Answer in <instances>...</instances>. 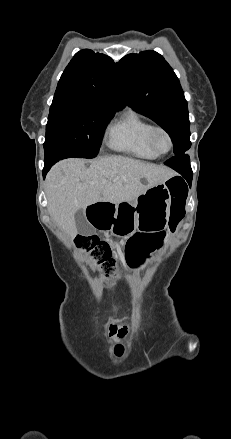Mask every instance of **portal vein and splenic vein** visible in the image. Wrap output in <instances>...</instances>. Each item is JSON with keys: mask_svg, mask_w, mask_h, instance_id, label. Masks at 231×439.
I'll list each match as a JSON object with an SVG mask.
<instances>
[{"mask_svg": "<svg viewBox=\"0 0 231 439\" xmlns=\"http://www.w3.org/2000/svg\"><path fill=\"white\" fill-rule=\"evenodd\" d=\"M107 181L106 180H102V183L105 184Z\"/></svg>", "mask_w": 231, "mask_h": 439, "instance_id": "1", "label": "portal vein and splenic vein"}]
</instances>
